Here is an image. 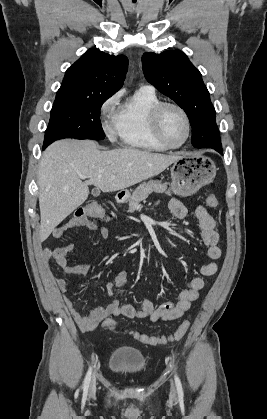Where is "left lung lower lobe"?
<instances>
[{
	"label": "left lung lower lobe",
	"instance_id": "1",
	"mask_svg": "<svg viewBox=\"0 0 267 419\" xmlns=\"http://www.w3.org/2000/svg\"><path fill=\"white\" fill-rule=\"evenodd\" d=\"M209 137H213V136H209ZM203 146H204L203 148H213L216 151L222 153V147L221 146L220 147L219 146H215L212 139L207 144H203Z\"/></svg>",
	"mask_w": 267,
	"mask_h": 419
}]
</instances>
